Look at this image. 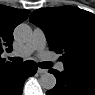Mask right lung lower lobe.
<instances>
[{
  "label": "right lung lower lobe",
  "mask_w": 95,
  "mask_h": 95,
  "mask_svg": "<svg viewBox=\"0 0 95 95\" xmlns=\"http://www.w3.org/2000/svg\"><path fill=\"white\" fill-rule=\"evenodd\" d=\"M36 71L37 65L31 60L0 71V95H21L25 80Z\"/></svg>",
  "instance_id": "1"
}]
</instances>
